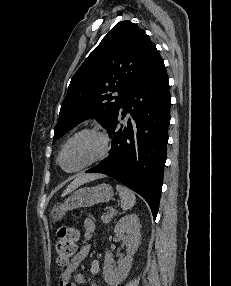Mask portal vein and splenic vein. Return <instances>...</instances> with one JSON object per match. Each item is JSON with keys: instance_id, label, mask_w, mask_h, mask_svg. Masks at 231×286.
Returning <instances> with one entry per match:
<instances>
[{"instance_id": "obj_1", "label": "portal vein and splenic vein", "mask_w": 231, "mask_h": 286, "mask_svg": "<svg viewBox=\"0 0 231 286\" xmlns=\"http://www.w3.org/2000/svg\"><path fill=\"white\" fill-rule=\"evenodd\" d=\"M111 211H114V209H113V208H111Z\"/></svg>"}]
</instances>
